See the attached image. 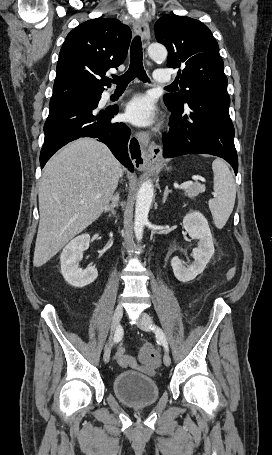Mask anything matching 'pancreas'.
<instances>
[{
  "label": "pancreas",
  "instance_id": "obj_1",
  "mask_svg": "<svg viewBox=\"0 0 272 455\" xmlns=\"http://www.w3.org/2000/svg\"><path fill=\"white\" fill-rule=\"evenodd\" d=\"M184 191L185 195H187L189 198H194L205 191V186L196 183L189 188L184 189Z\"/></svg>",
  "mask_w": 272,
  "mask_h": 455
}]
</instances>
